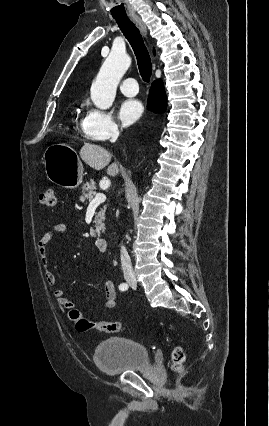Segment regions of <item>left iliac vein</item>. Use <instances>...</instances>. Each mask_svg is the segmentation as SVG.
<instances>
[{
	"label": "left iliac vein",
	"mask_w": 269,
	"mask_h": 426,
	"mask_svg": "<svg viewBox=\"0 0 269 426\" xmlns=\"http://www.w3.org/2000/svg\"><path fill=\"white\" fill-rule=\"evenodd\" d=\"M132 288H133V289H136V284L132 285Z\"/></svg>",
	"instance_id": "obj_1"
}]
</instances>
